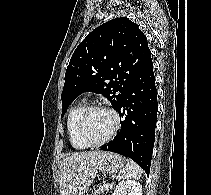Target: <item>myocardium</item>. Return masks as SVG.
Listing matches in <instances>:
<instances>
[{
    "label": "myocardium",
    "mask_w": 211,
    "mask_h": 195,
    "mask_svg": "<svg viewBox=\"0 0 211 195\" xmlns=\"http://www.w3.org/2000/svg\"><path fill=\"white\" fill-rule=\"evenodd\" d=\"M107 111L109 112L114 120V124H113V128L110 131V133L108 134V136L106 138H104L103 140L99 141V142H89L83 133V128H84V124L85 121L87 119V117L94 111ZM120 127V117L118 115V113L111 107L109 106H105V105H92V106H88L80 115L78 122H77V135L79 137V139L81 140V142L86 146V147H100L103 146L104 144L108 143L117 133L118 129Z\"/></svg>",
    "instance_id": "1"
}]
</instances>
